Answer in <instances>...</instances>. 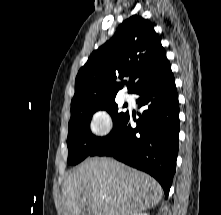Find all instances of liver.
I'll return each instance as SVG.
<instances>
[{
	"label": "liver",
	"instance_id": "6515ba94",
	"mask_svg": "<svg viewBox=\"0 0 221 215\" xmlns=\"http://www.w3.org/2000/svg\"><path fill=\"white\" fill-rule=\"evenodd\" d=\"M160 184L151 176L110 158H88L66 175L64 215H133L156 206Z\"/></svg>",
	"mask_w": 221,
	"mask_h": 215
}]
</instances>
